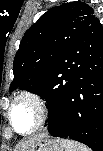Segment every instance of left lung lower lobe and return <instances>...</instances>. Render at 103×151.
I'll return each mask as SVG.
<instances>
[{"mask_svg": "<svg viewBox=\"0 0 103 151\" xmlns=\"http://www.w3.org/2000/svg\"><path fill=\"white\" fill-rule=\"evenodd\" d=\"M37 94L46 99L48 132L103 151V27H88Z\"/></svg>", "mask_w": 103, "mask_h": 151, "instance_id": "left-lung-lower-lobe-1", "label": "left lung lower lobe"}]
</instances>
